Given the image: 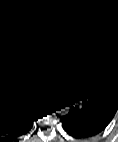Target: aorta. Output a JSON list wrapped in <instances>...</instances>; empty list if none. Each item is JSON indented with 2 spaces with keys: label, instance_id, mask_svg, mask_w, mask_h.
Returning a JSON list of instances; mask_svg holds the SVG:
<instances>
[{
  "label": "aorta",
  "instance_id": "obj_1",
  "mask_svg": "<svg viewBox=\"0 0 118 142\" xmlns=\"http://www.w3.org/2000/svg\"><path fill=\"white\" fill-rule=\"evenodd\" d=\"M69 111H70V107H65V108H63L61 110H58L57 113L59 115H67L69 113Z\"/></svg>",
  "mask_w": 118,
  "mask_h": 142
}]
</instances>
